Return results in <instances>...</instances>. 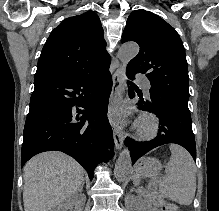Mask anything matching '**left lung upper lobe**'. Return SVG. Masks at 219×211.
I'll list each match as a JSON object with an SVG mask.
<instances>
[{"label":"left lung upper lobe","instance_id":"5c2ea615","mask_svg":"<svg viewBox=\"0 0 219 211\" xmlns=\"http://www.w3.org/2000/svg\"><path fill=\"white\" fill-rule=\"evenodd\" d=\"M140 46L127 72L142 73L150 81V96L188 109L189 76L185 48L176 30L156 14L135 10L127 19L121 42Z\"/></svg>","mask_w":219,"mask_h":211}]
</instances>
